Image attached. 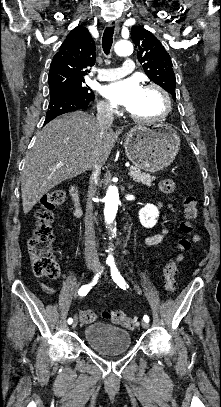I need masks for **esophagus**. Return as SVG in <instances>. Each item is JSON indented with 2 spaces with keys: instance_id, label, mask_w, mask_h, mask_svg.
I'll return each mask as SVG.
<instances>
[{
  "instance_id": "34e87169",
  "label": "esophagus",
  "mask_w": 221,
  "mask_h": 407,
  "mask_svg": "<svg viewBox=\"0 0 221 407\" xmlns=\"http://www.w3.org/2000/svg\"><path fill=\"white\" fill-rule=\"evenodd\" d=\"M118 21L117 20H113L109 22V27H114L116 30H118Z\"/></svg>"
}]
</instances>
